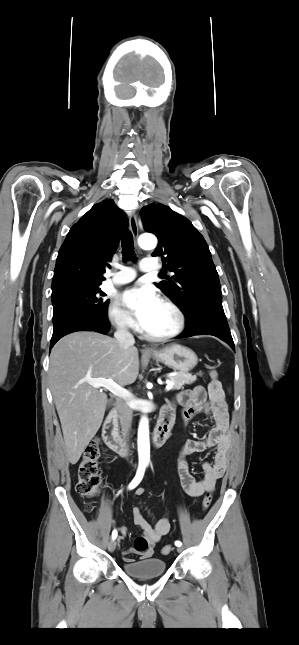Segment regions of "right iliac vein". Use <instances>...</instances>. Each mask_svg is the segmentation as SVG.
Segmentation results:
<instances>
[{
    "label": "right iliac vein",
    "instance_id": "1",
    "mask_svg": "<svg viewBox=\"0 0 299 645\" xmlns=\"http://www.w3.org/2000/svg\"><path fill=\"white\" fill-rule=\"evenodd\" d=\"M115 548H116V541H115V540H111V541L109 542V544H108V550H109L110 552H113V551L115 550Z\"/></svg>",
    "mask_w": 299,
    "mask_h": 645
}]
</instances>
